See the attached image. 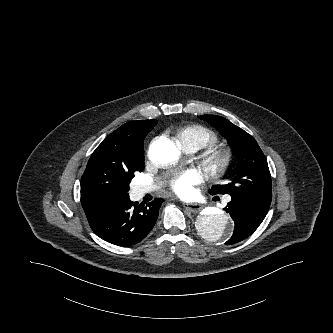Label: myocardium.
Listing matches in <instances>:
<instances>
[{
    "label": "myocardium",
    "mask_w": 333,
    "mask_h": 333,
    "mask_svg": "<svg viewBox=\"0 0 333 333\" xmlns=\"http://www.w3.org/2000/svg\"><path fill=\"white\" fill-rule=\"evenodd\" d=\"M234 161L235 156L230 149L211 150L203 156L204 165L216 174L227 171L233 165Z\"/></svg>",
    "instance_id": "f54148a6"
}]
</instances>
